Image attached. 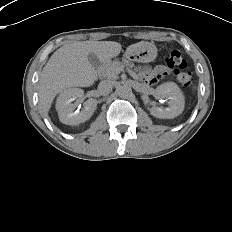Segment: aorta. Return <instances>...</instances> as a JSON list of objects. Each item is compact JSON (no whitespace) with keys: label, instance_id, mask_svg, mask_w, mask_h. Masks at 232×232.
<instances>
[{"label":"aorta","instance_id":"762f6f07","mask_svg":"<svg viewBox=\"0 0 232 232\" xmlns=\"http://www.w3.org/2000/svg\"><path fill=\"white\" fill-rule=\"evenodd\" d=\"M118 94L121 98L127 99L132 95V89L128 85H122L118 90Z\"/></svg>","mask_w":232,"mask_h":232}]
</instances>
